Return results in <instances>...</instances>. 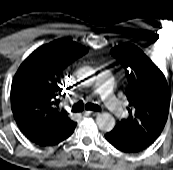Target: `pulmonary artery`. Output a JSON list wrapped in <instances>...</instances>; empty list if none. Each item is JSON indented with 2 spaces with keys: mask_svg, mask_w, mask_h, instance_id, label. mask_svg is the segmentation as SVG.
<instances>
[{
  "mask_svg": "<svg viewBox=\"0 0 173 170\" xmlns=\"http://www.w3.org/2000/svg\"><path fill=\"white\" fill-rule=\"evenodd\" d=\"M113 75L109 71L101 72L95 82L94 94L100 95L107 109L116 117L123 116V109L120 103L112 97Z\"/></svg>",
  "mask_w": 173,
  "mask_h": 170,
  "instance_id": "1",
  "label": "pulmonary artery"
}]
</instances>
